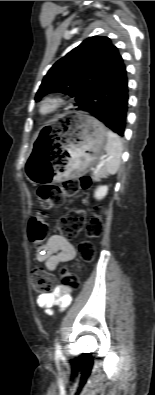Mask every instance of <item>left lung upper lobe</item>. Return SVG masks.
Masks as SVG:
<instances>
[{"instance_id": "obj_1", "label": "left lung upper lobe", "mask_w": 155, "mask_h": 395, "mask_svg": "<svg viewBox=\"0 0 155 395\" xmlns=\"http://www.w3.org/2000/svg\"><path fill=\"white\" fill-rule=\"evenodd\" d=\"M123 59L108 37L93 36L84 40L58 60L45 75L35 100L52 92L75 97L77 110L95 90L103 77Z\"/></svg>"}]
</instances>
